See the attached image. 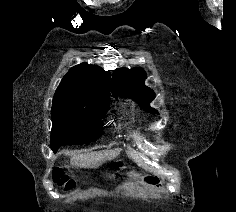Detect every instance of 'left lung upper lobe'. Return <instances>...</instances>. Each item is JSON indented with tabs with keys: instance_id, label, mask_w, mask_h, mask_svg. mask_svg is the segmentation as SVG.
I'll return each instance as SVG.
<instances>
[{
	"instance_id": "obj_1",
	"label": "left lung upper lobe",
	"mask_w": 236,
	"mask_h": 212,
	"mask_svg": "<svg viewBox=\"0 0 236 212\" xmlns=\"http://www.w3.org/2000/svg\"><path fill=\"white\" fill-rule=\"evenodd\" d=\"M146 73L140 68H119L112 78V94L117 99L132 97L146 112L157 113L150 107V102L155 98L154 91L145 86Z\"/></svg>"
}]
</instances>
